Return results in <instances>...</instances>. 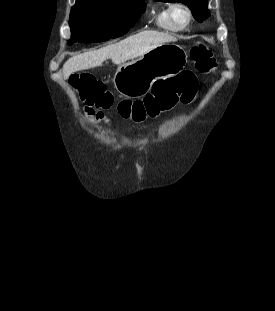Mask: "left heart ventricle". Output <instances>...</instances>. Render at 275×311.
<instances>
[{
	"label": "left heart ventricle",
	"instance_id": "1",
	"mask_svg": "<svg viewBox=\"0 0 275 311\" xmlns=\"http://www.w3.org/2000/svg\"><path fill=\"white\" fill-rule=\"evenodd\" d=\"M173 16H174V20H175L176 24H178L180 26L184 25L186 20H187V15H186L185 11L182 9L175 10Z\"/></svg>",
	"mask_w": 275,
	"mask_h": 311
}]
</instances>
